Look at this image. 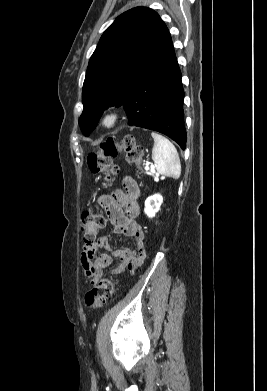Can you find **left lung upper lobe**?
Wrapping results in <instances>:
<instances>
[{
  "instance_id": "5c2ea615",
  "label": "left lung upper lobe",
  "mask_w": 267,
  "mask_h": 391,
  "mask_svg": "<svg viewBox=\"0 0 267 391\" xmlns=\"http://www.w3.org/2000/svg\"><path fill=\"white\" fill-rule=\"evenodd\" d=\"M172 44L152 9L136 7L117 17L101 36L83 84L79 125L89 135L109 106L124 104L153 62Z\"/></svg>"
}]
</instances>
